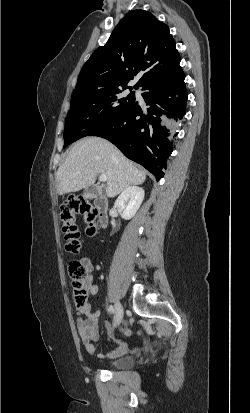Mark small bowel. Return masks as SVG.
Wrapping results in <instances>:
<instances>
[{
  "mask_svg": "<svg viewBox=\"0 0 250 413\" xmlns=\"http://www.w3.org/2000/svg\"><path fill=\"white\" fill-rule=\"evenodd\" d=\"M80 262L86 267L89 278L87 280L89 292L91 295H96L98 292V286L94 282L93 276V265L91 260L88 257H83ZM79 317L77 320V332L78 335L86 349V351L90 355L95 354V345L100 336L99 330V317H100V310L97 309L96 311L92 312L90 305H86L83 308L78 309ZM109 327V326H108ZM127 351V347L123 342H118V347L113 350L112 352L106 355L107 358H115L125 354Z\"/></svg>",
  "mask_w": 250,
  "mask_h": 413,
  "instance_id": "c3829d8e",
  "label": "small bowel"
}]
</instances>
